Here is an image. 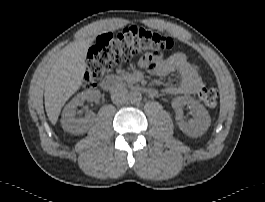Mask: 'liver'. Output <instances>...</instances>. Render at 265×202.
Instances as JSON below:
<instances>
[{
    "label": "liver",
    "mask_w": 265,
    "mask_h": 202,
    "mask_svg": "<svg viewBox=\"0 0 265 202\" xmlns=\"http://www.w3.org/2000/svg\"><path fill=\"white\" fill-rule=\"evenodd\" d=\"M93 39L68 44L56 56L47 76L45 110L55 125L65 102L81 87L86 71V54Z\"/></svg>",
    "instance_id": "obj_1"
}]
</instances>
